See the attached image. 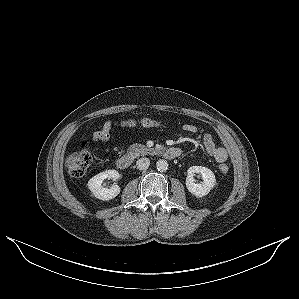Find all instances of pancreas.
Instances as JSON below:
<instances>
[{
  "label": "pancreas",
  "instance_id": "obj_1",
  "mask_svg": "<svg viewBox=\"0 0 299 299\" xmlns=\"http://www.w3.org/2000/svg\"><path fill=\"white\" fill-rule=\"evenodd\" d=\"M128 150H129V154L133 157L151 154L153 151V149L148 148L145 145L137 144V143L131 145Z\"/></svg>",
  "mask_w": 299,
  "mask_h": 299
}]
</instances>
